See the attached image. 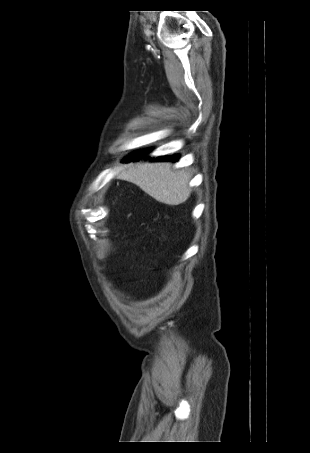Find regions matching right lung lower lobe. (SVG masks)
I'll return each mask as SVG.
<instances>
[{
	"label": "right lung lower lobe",
	"mask_w": 310,
	"mask_h": 453,
	"mask_svg": "<svg viewBox=\"0 0 310 453\" xmlns=\"http://www.w3.org/2000/svg\"><path fill=\"white\" fill-rule=\"evenodd\" d=\"M149 152V150H140V151H137V152H134L132 153L131 155H129L127 158H125L123 160V162H129V161H135V160H139L141 159L142 157H145V155ZM179 156L178 155H174V156H167V157H159V158H156V160H161V161H164V160H170V161H176L178 160Z\"/></svg>",
	"instance_id": "98d812e1"
}]
</instances>
